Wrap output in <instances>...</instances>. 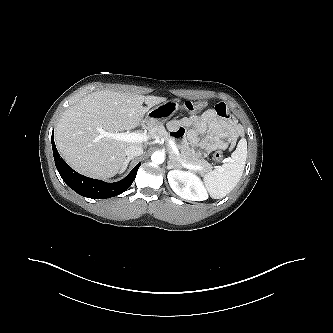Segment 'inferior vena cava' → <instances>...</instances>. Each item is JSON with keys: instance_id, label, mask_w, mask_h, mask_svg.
Segmentation results:
<instances>
[{"instance_id": "obj_1", "label": "inferior vena cava", "mask_w": 333, "mask_h": 333, "mask_svg": "<svg viewBox=\"0 0 333 333\" xmlns=\"http://www.w3.org/2000/svg\"><path fill=\"white\" fill-rule=\"evenodd\" d=\"M125 153L128 157H136L143 154V148L140 145H130L125 149Z\"/></svg>"}]
</instances>
